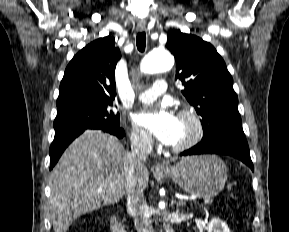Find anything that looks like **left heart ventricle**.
<instances>
[{"mask_svg":"<svg viewBox=\"0 0 289 232\" xmlns=\"http://www.w3.org/2000/svg\"><path fill=\"white\" fill-rule=\"evenodd\" d=\"M194 127L191 121L188 119L178 118V133L174 146L183 144L186 142L193 134Z\"/></svg>","mask_w":289,"mask_h":232,"instance_id":"left-heart-ventricle-1","label":"left heart ventricle"}]
</instances>
